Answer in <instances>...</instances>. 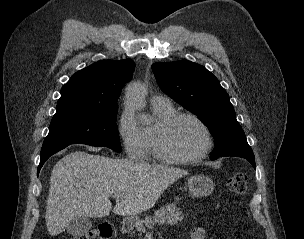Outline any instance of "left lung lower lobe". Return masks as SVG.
<instances>
[{"mask_svg": "<svg viewBox=\"0 0 304 239\" xmlns=\"http://www.w3.org/2000/svg\"><path fill=\"white\" fill-rule=\"evenodd\" d=\"M243 158H245L246 160H248L252 164V166L254 168H256L254 158H250V157H243ZM211 159L214 160L215 158H211Z\"/></svg>", "mask_w": 304, "mask_h": 239, "instance_id": "0a47b994", "label": "left lung lower lobe"}]
</instances>
